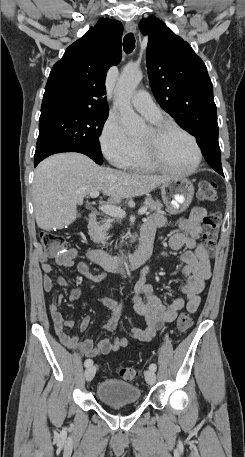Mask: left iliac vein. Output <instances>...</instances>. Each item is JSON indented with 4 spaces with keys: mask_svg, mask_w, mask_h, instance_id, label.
Masks as SVG:
<instances>
[{
    "mask_svg": "<svg viewBox=\"0 0 245 457\" xmlns=\"http://www.w3.org/2000/svg\"><path fill=\"white\" fill-rule=\"evenodd\" d=\"M145 379H146V381H147V383H148L149 385H151V386L154 385V383H155V381H156V376H155L154 371H152V370H147V371L145 372Z\"/></svg>",
    "mask_w": 245,
    "mask_h": 457,
    "instance_id": "4c4485c4",
    "label": "left iliac vein"
}]
</instances>
